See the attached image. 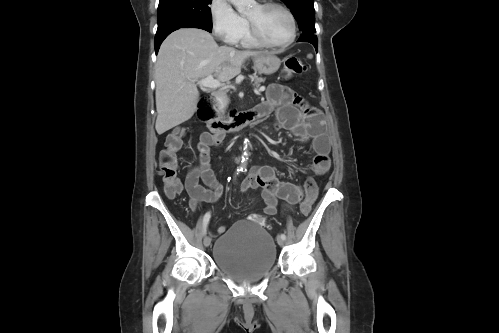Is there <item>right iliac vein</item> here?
Segmentation results:
<instances>
[{
    "mask_svg": "<svg viewBox=\"0 0 499 333\" xmlns=\"http://www.w3.org/2000/svg\"><path fill=\"white\" fill-rule=\"evenodd\" d=\"M210 244H211V238H210L209 236H206V237L204 238V246H205V247H209V246H210Z\"/></svg>",
    "mask_w": 499,
    "mask_h": 333,
    "instance_id": "obj_1",
    "label": "right iliac vein"
}]
</instances>
